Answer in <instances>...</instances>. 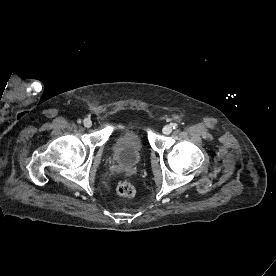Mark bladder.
<instances>
[{
  "instance_id": "obj_1",
  "label": "bladder",
  "mask_w": 276,
  "mask_h": 276,
  "mask_svg": "<svg viewBox=\"0 0 276 276\" xmlns=\"http://www.w3.org/2000/svg\"><path fill=\"white\" fill-rule=\"evenodd\" d=\"M144 147L142 136L136 130L128 129L114 140L112 156L120 165L133 167L140 161Z\"/></svg>"
}]
</instances>
